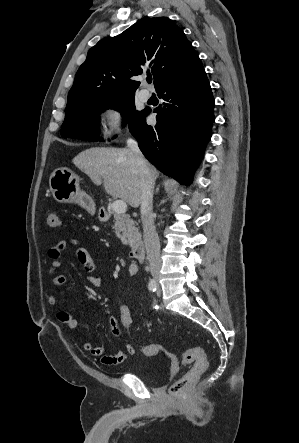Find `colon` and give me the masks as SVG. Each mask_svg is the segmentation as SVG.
I'll use <instances>...</instances> for the list:
<instances>
[{
	"mask_svg": "<svg viewBox=\"0 0 299 443\" xmlns=\"http://www.w3.org/2000/svg\"><path fill=\"white\" fill-rule=\"evenodd\" d=\"M45 224L47 228H57L60 226V218L56 211L49 210L45 214ZM118 319L123 329L135 338L136 320L127 306H122L118 313ZM139 350L148 357L163 355L170 362L171 370L175 373L179 370L178 359L169 354L161 345L153 343H138ZM184 364H192L191 368L176 380L169 389L173 396L181 395L192 383H194L207 369L208 361L201 347H194L186 350L182 355Z\"/></svg>",
	"mask_w": 299,
	"mask_h": 443,
	"instance_id": "colon-1",
	"label": "colon"
}]
</instances>
